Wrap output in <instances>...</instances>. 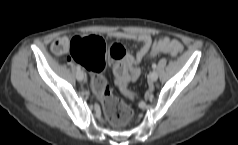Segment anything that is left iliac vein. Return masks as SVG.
Here are the masks:
<instances>
[{
	"mask_svg": "<svg viewBox=\"0 0 238 145\" xmlns=\"http://www.w3.org/2000/svg\"><path fill=\"white\" fill-rule=\"evenodd\" d=\"M158 79V73L156 71H153L149 75V81L150 82H155Z\"/></svg>",
	"mask_w": 238,
	"mask_h": 145,
	"instance_id": "obj_1",
	"label": "left iliac vein"
}]
</instances>
